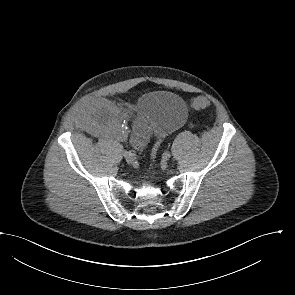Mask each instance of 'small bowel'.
<instances>
[{
	"label": "small bowel",
	"mask_w": 295,
	"mask_h": 295,
	"mask_svg": "<svg viewBox=\"0 0 295 295\" xmlns=\"http://www.w3.org/2000/svg\"><path fill=\"white\" fill-rule=\"evenodd\" d=\"M82 120L97 131L110 135L119 130L125 114L118 110L106 99H95L89 102L83 111ZM152 129L148 121L141 115H135L132 119V133L130 142L132 146L140 150L149 141ZM119 136L124 138V133L119 130Z\"/></svg>",
	"instance_id": "small-bowel-1"
}]
</instances>
